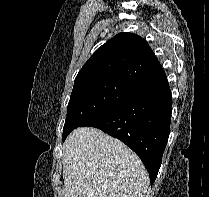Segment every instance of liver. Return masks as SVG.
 I'll return each instance as SVG.
<instances>
[{
  "label": "liver",
  "mask_w": 209,
  "mask_h": 197,
  "mask_svg": "<svg viewBox=\"0 0 209 197\" xmlns=\"http://www.w3.org/2000/svg\"><path fill=\"white\" fill-rule=\"evenodd\" d=\"M64 197H145L149 176L123 142L97 128L80 127L64 142Z\"/></svg>",
  "instance_id": "6515ba94"
}]
</instances>
